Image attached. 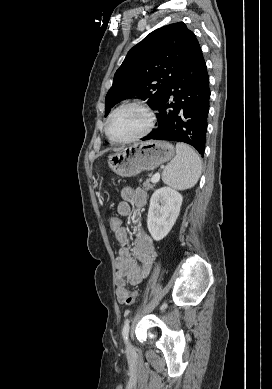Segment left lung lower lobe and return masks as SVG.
<instances>
[{"label": "left lung lower lobe", "mask_w": 272, "mask_h": 389, "mask_svg": "<svg viewBox=\"0 0 272 389\" xmlns=\"http://www.w3.org/2000/svg\"><path fill=\"white\" fill-rule=\"evenodd\" d=\"M171 96L174 102H169ZM209 98V76L200 48L170 83L161 103L156 108L159 111L157 129L142 140L185 142L203 154Z\"/></svg>", "instance_id": "1"}]
</instances>
